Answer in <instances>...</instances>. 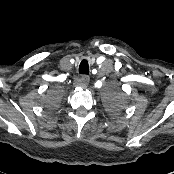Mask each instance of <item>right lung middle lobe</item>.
Instances as JSON below:
<instances>
[{
  "instance_id": "obj_1",
  "label": "right lung middle lobe",
  "mask_w": 174,
  "mask_h": 174,
  "mask_svg": "<svg viewBox=\"0 0 174 174\" xmlns=\"http://www.w3.org/2000/svg\"><path fill=\"white\" fill-rule=\"evenodd\" d=\"M60 102V98L58 96H49L45 105L50 108H56Z\"/></svg>"
}]
</instances>
